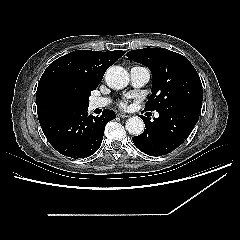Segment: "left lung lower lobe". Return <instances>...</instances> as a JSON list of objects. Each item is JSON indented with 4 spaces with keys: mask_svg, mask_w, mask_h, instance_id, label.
<instances>
[{
    "mask_svg": "<svg viewBox=\"0 0 240 240\" xmlns=\"http://www.w3.org/2000/svg\"><path fill=\"white\" fill-rule=\"evenodd\" d=\"M201 107L202 101L178 104L160 111L153 122L142 116L146 129L132 138L135 146L150 156H162L175 150L192 132Z\"/></svg>",
    "mask_w": 240,
    "mask_h": 240,
    "instance_id": "obj_1",
    "label": "left lung lower lobe"
}]
</instances>
